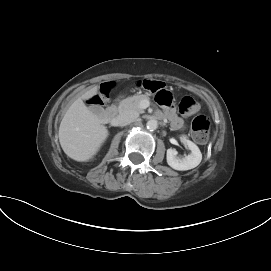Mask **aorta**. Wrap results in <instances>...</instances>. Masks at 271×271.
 <instances>
[{
	"instance_id": "1",
	"label": "aorta",
	"mask_w": 271,
	"mask_h": 271,
	"mask_svg": "<svg viewBox=\"0 0 271 271\" xmlns=\"http://www.w3.org/2000/svg\"><path fill=\"white\" fill-rule=\"evenodd\" d=\"M147 129L149 130H156L158 127V122L155 119H151L146 123Z\"/></svg>"
}]
</instances>
